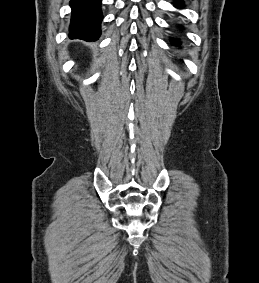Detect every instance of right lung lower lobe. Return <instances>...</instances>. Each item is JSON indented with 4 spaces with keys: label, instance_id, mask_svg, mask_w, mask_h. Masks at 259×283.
<instances>
[{
    "label": "right lung lower lobe",
    "instance_id": "obj_1",
    "mask_svg": "<svg viewBox=\"0 0 259 283\" xmlns=\"http://www.w3.org/2000/svg\"><path fill=\"white\" fill-rule=\"evenodd\" d=\"M101 0H71L70 38L95 41L100 36Z\"/></svg>",
    "mask_w": 259,
    "mask_h": 283
}]
</instances>
